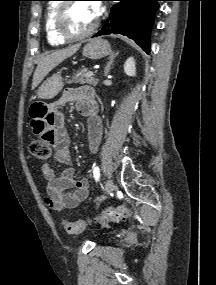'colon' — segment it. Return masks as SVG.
<instances>
[{
	"label": "colon",
	"mask_w": 216,
	"mask_h": 285,
	"mask_svg": "<svg viewBox=\"0 0 216 285\" xmlns=\"http://www.w3.org/2000/svg\"><path fill=\"white\" fill-rule=\"evenodd\" d=\"M30 153L41 161L49 160L52 155V148L50 144H46V141H40L39 139H33L29 143ZM131 216V210L127 206H118L114 208H108L100 215L91 219H77L74 222L64 220L63 226L68 234H79L83 232L86 226L92 221L97 223L117 222L128 219Z\"/></svg>",
	"instance_id": "5ec220e1"
}]
</instances>
